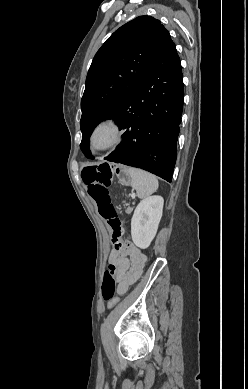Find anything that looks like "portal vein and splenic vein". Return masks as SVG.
Here are the masks:
<instances>
[{
	"label": "portal vein and splenic vein",
	"instance_id": "1",
	"mask_svg": "<svg viewBox=\"0 0 248 389\" xmlns=\"http://www.w3.org/2000/svg\"><path fill=\"white\" fill-rule=\"evenodd\" d=\"M130 196H131L132 198H134V197H135V194H131Z\"/></svg>",
	"mask_w": 248,
	"mask_h": 389
}]
</instances>
